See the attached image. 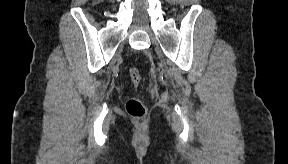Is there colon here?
Here are the masks:
<instances>
[{
	"label": "colon",
	"mask_w": 288,
	"mask_h": 164,
	"mask_svg": "<svg viewBox=\"0 0 288 164\" xmlns=\"http://www.w3.org/2000/svg\"><path fill=\"white\" fill-rule=\"evenodd\" d=\"M129 75L132 80V83L135 87H138L141 84L142 76L140 71L136 68H131L129 70ZM126 111L127 114L134 118L135 120H140L147 116V109L144 102L139 97H133L127 100L126 102Z\"/></svg>",
	"instance_id": "1"
}]
</instances>
